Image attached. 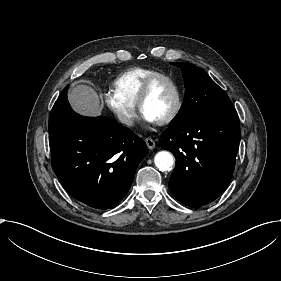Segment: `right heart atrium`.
<instances>
[{"label":"right heart atrium","instance_id":"right-heart-atrium-1","mask_svg":"<svg viewBox=\"0 0 281 281\" xmlns=\"http://www.w3.org/2000/svg\"><path fill=\"white\" fill-rule=\"evenodd\" d=\"M103 98L120 123L127 127L135 125L137 121V109L135 105L124 101L113 89L105 91Z\"/></svg>","mask_w":281,"mask_h":281}]
</instances>
